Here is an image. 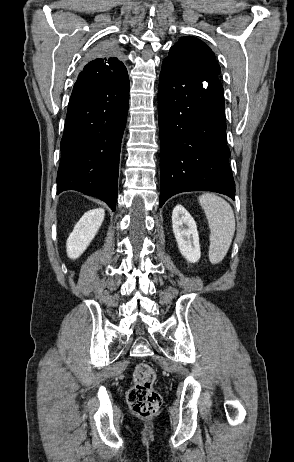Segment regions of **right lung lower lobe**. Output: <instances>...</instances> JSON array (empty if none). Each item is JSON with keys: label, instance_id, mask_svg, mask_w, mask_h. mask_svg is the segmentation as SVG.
Segmentation results:
<instances>
[{"label": "right lung lower lobe", "instance_id": "right-lung-lower-lobe-1", "mask_svg": "<svg viewBox=\"0 0 294 462\" xmlns=\"http://www.w3.org/2000/svg\"><path fill=\"white\" fill-rule=\"evenodd\" d=\"M128 106V74L110 83L73 90L61 140L57 194L77 190L115 210Z\"/></svg>", "mask_w": 294, "mask_h": 462}]
</instances>
